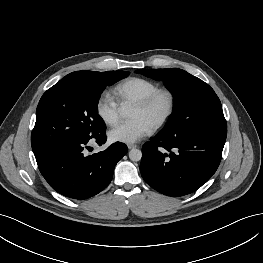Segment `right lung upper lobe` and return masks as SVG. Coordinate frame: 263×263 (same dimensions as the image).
Instances as JSON below:
<instances>
[{
	"label": "right lung upper lobe",
	"mask_w": 263,
	"mask_h": 263,
	"mask_svg": "<svg viewBox=\"0 0 263 263\" xmlns=\"http://www.w3.org/2000/svg\"><path fill=\"white\" fill-rule=\"evenodd\" d=\"M89 71H76L68 74L65 78H79L86 75Z\"/></svg>",
	"instance_id": "cb5924a9"
}]
</instances>
